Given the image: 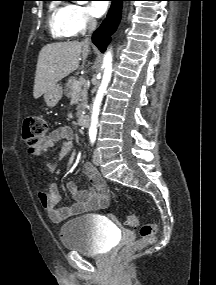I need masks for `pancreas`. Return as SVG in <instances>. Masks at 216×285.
Instances as JSON below:
<instances>
[{
  "label": "pancreas",
  "instance_id": "obj_1",
  "mask_svg": "<svg viewBox=\"0 0 216 285\" xmlns=\"http://www.w3.org/2000/svg\"><path fill=\"white\" fill-rule=\"evenodd\" d=\"M75 81H77L75 77H69L67 80V83L65 84L64 93L68 98L71 97L74 91L73 87H74ZM78 93H79V104L76 108L77 110L76 115L80 116L83 110H85L86 105H87V87H86L85 80H82V84L80 88L78 89Z\"/></svg>",
  "mask_w": 216,
  "mask_h": 285
}]
</instances>
